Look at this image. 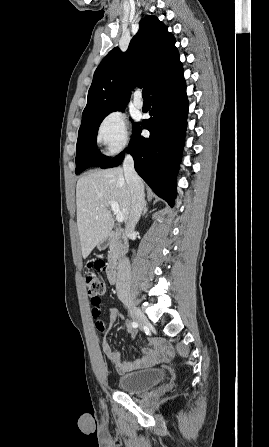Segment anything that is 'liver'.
<instances>
[{"instance_id": "1", "label": "liver", "mask_w": 269, "mask_h": 447, "mask_svg": "<svg viewBox=\"0 0 269 447\" xmlns=\"http://www.w3.org/2000/svg\"><path fill=\"white\" fill-rule=\"evenodd\" d=\"M110 200L118 202L124 222H128L131 194L123 168L90 170L87 176L78 180L76 186L77 227L84 259L88 257L95 245L107 239L114 225Z\"/></svg>"}]
</instances>
